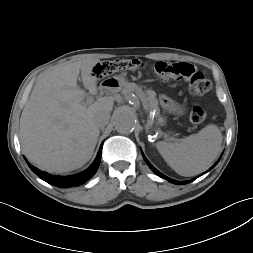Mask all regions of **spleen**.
<instances>
[{
	"label": "spleen",
	"mask_w": 253,
	"mask_h": 253,
	"mask_svg": "<svg viewBox=\"0 0 253 253\" xmlns=\"http://www.w3.org/2000/svg\"><path fill=\"white\" fill-rule=\"evenodd\" d=\"M217 125L209 124L197 134L179 142H157L156 147L167 164L181 176H194L206 170L216 159L222 144Z\"/></svg>",
	"instance_id": "obj_1"
}]
</instances>
